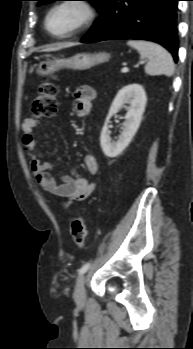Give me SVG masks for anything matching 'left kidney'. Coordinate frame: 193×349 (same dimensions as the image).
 Returning <instances> with one entry per match:
<instances>
[{
    "label": "left kidney",
    "mask_w": 193,
    "mask_h": 349,
    "mask_svg": "<svg viewBox=\"0 0 193 349\" xmlns=\"http://www.w3.org/2000/svg\"><path fill=\"white\" fill-rule=\"evenodd\" d=\"M147 98L143 87L137 83L127 85L119 90L113 100L100 135V144L107 157H117L129 145L136 134L145 110ZM124 104H129L125 116L124 128L117 141L110 138L108 123Z\"/></svg>",
    "instance_id": "5707ae66"
}]
</instances>
